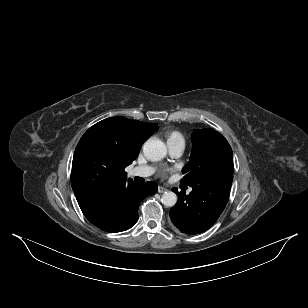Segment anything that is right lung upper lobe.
I'll list each match as a JSON object with an SVG mask.
<instances>
[{
  "mask_svg": "<svg viewBox=\"0 0 308 308\" xmlns=\"http://www.w3.org/2000/svg\"><path fill=\"white\" fill-rule=\"evenodd\" d=\"M157 130L156 123L112 117L85 132L76 147L71 171V185L81 209L133 183L124 169Z\"/></svg>",
  "mask_w": 308,
  "mask_h": 308,
  "instance_id": "right-lung-upper-lobe-1",
  "label": "right lung upper lobe"
}]
</instances>
